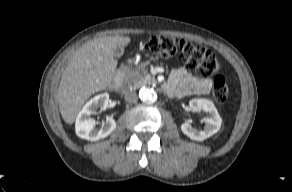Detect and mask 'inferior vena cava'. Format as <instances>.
Wrapping results in <instances>:
<instances>
[{
  "label": "inferior vena cava",
  "instance_id": "1",
  "mask_svg": "<svg viewBox=\"0 0 292 192\" xmlns=\"http://www.w3.org/2000/svg\"><path fill=\"white\" fill-rule=\"evenodd\" d=\"M124 98H125V101L127 103H130V104L136 103L138 100V96H137L136 92H134V91H127L125 93Z\"/></svg>",
  "mask_w": 292,
  "mask_h": 192
}]
</instances>
